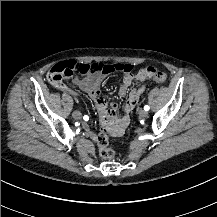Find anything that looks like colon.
Segmentation results:
<instances>
[{
	"label": "colon",
	"mask_w": 217,
	"mask_h": 217,
	"mask_svg": "<svg viewBox=\"0 0 217 217\" xmlns=\"http://www.w3.org/2000/svg\"><path fill=\"white\" fill-rule=\"evenodd\" d=\"M132 70V66L128 63H114L105 64L98 61H92L90 64H80L74 59H67L57 62L56 65L50 67L49 74L51 80L55 83H60L62 80L69 78L73 74L77 75H90L99 72L112 73V72H122L127 73ZM153 69L149 68L148 73L152 72ZM154 81L163 82L166 79L165 73H159L152 77ZM97 146L101 152V155L105 159H113L115 152L108 148V141L106 132L100 130L97 133Z\"/></svg>",
	"instance_id": "obj_1"
}]
</instances>
